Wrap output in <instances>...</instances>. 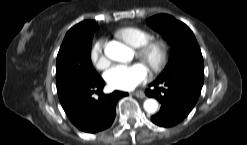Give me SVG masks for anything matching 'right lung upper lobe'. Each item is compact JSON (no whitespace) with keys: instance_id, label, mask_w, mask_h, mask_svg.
Returning a JSON list of instances; mask_svg holds the SVG:
<instances>
[{"instance_id":"cb5924a9","label":"right lung upper lobe","mask_w":247,"mask_h":145,"mask_svg":"<svg viewBox=\"0 0 247 145\" xmlns=\"http://www.w3.org/2000/svg\"><path fill=\"white\" fill-rule=\"evenodd\" d=\"M97 28V24L95 23V21H91V20H86L83 21L77 25H75L74 27H72L68 32H77V31H88V30H96Z\"/></svg>"}]
</instances>
